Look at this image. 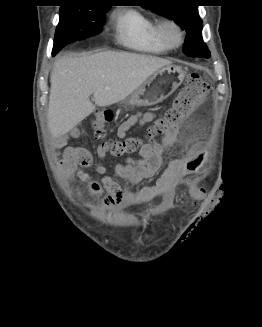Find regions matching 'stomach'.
I'll use <instances>...</instances> for the list:
<instances>
[{
  "label": "stomach",
  "instance_id": "1",
  "mask_svg": "<svg viewBox=\"0 0 262 327\" xmlns=\"http://www.w3.org/2000/svg\"><path fill=\"white\" fill-rule=\"evenodd\" d=\"M185 72L180 66L167 65L153 73L129 97L131 106H152L168 98L183 82Z\"/></svg>",
  "mask_w": 262,
  "mask_h": 327
}]
</instances>
